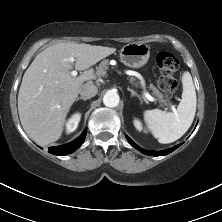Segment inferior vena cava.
Wrapping results in <instances>:
<instances>
[{"label": "inferior vena cava", "mask_w": 222, "mask_h": 222, "mask_svg": "<svg viewBox=\"0 0 222 222\" xmlns=\"http://www.w3.org/2000/svg\"><path fill=\"white\" fill-rule=\"evenodd\" d=\"M97 87L92 83H86L81 86L79 94L84 98H91L97 94Z\"/></svg>", "instance_id": "obj_1"}]
</instances>
